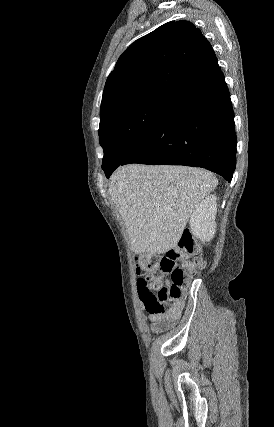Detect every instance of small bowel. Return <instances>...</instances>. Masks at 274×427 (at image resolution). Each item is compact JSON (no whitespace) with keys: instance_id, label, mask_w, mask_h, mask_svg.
Wrapping results in <instances>:
<instances>
[{"instance_id":"1","label":"small bowel","mask_w":274,"mask_h":427,"mask_svg":"<svg viewBox=\"0 0 274 427\" xmlns=\"http://www.w3.org/2000/svg\"><path fill=\"white\" fill-rule=\"evenodd\" d=\"M179 265L183 268H190L192 263L186 260H181L179 261ZM182 309L183 303L179 300H176L163 312L150 315L152 330L155 333H159L167 329L175 320L180 317Z\"/></svg>"}]
</instances>
